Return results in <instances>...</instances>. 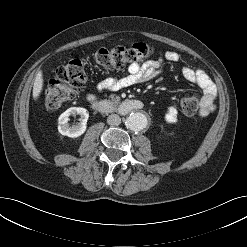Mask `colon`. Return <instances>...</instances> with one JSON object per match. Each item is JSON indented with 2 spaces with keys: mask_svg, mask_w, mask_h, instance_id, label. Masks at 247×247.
<instances>
[{
  "mask_svg": "<svg viewBox=\"0 0 247 247\" xmlns=\"http://www.w3.org/2000/svg\"><path fill=\"white\" fill-rule=\"evenodd\" d=\"M152 54V49L144 43L131 47L100 48L92 54V60L101 67L113 70L120 69L129 63L141 62ZM84 59H72L57 68L55 77L44 90L45 105L49 109L57 108L74 100L87 82ZM185 115L193 116L199 108L195 95H188L181 100Z\"/></svg>",
  "mask_w": 247,
  "mask_h": 247,
  "instance_id": "5ec220e1",
  "label": "colon"
}]
</instances>
